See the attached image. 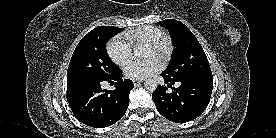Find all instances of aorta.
<instances>
[{
    "instance_id": "762f6f07",
    "label": "aorta",
    "mask_w": 276,
    "mask_h": 138,
    "mask_svg": "<svg viewBox=\"0 0 276 138\" xmlns=\"http://www.w3.org/2000/svg\"><path fill=\"white\" fill-rule=\"evenodd\" d=\"M135 55L138 56V52H136ZM144 86L147 90L153 92L157 88V81L153 78H149L144 82Z\"/></svg>"
}]
</instances>
